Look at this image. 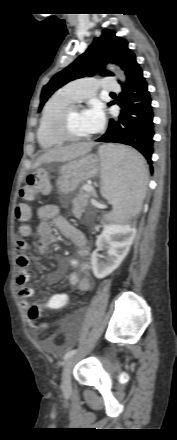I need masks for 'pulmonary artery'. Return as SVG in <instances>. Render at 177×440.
<instances>
[{
  "label": "pulmonary artery",
  "mask_w": 177,
  "mask_h": 440,
  "mask_svg": "<svg viewBox=\"0 0 177 440\" xmlns=\"http://www.w3.org/2000/svg\"><path fill=\"white\" fill-rule=\"evenodd\" d=\"M65 88L75 101L94 96L98 88H102L106 92H120V86L111 76L100 79L95 77L81 78L69 83Z\"/></svg>",
  "instance_id": "e3ab8cb5"
}]
</instances>
